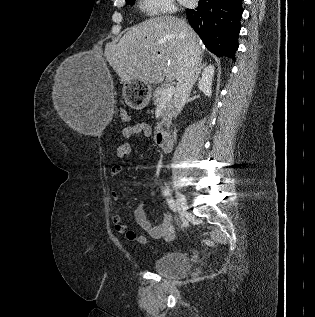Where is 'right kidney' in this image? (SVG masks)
Returning a JSON list of instances; mask_svg holds the SVG:
<instances>
[{
	"mask_svg": "<svg viewBox=\"0 0 315 317\" xmlns=\"http://www.w3.org/2000/svg\"><path fill=\"white\" fill-rule=\"evenodd\" d=\"M215 67L214 65H209L205 67L202 77L199 80L198 88L208 97L212 95V79L214 76Z\"/></svg>",
	"mask_w": 315,
	"mask_h": 317,
	"instance_id": "ca27d5eb",
	"label": "right kidney"
}]
</instances>
